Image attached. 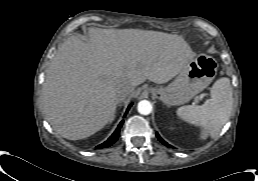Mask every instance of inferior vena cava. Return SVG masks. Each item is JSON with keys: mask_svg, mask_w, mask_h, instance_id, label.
<instances>
[{"mask_svg": "<svg viewBox=\"0 0 258 181\" xmlns=\"http://www.w3.org/2000/svg\"><path fill=\"white\" fill-rule=\"evenodd\" d=\"M130 93V90L129 89H124L123 91L120 92L119 94V102L124 100L125 97Z\"/></svg>", "mask_w": 258, "mask_h": 181, "instance_id": "inferior-vena-cava-1", "label": "inferior vena cava"}]
</instances>
